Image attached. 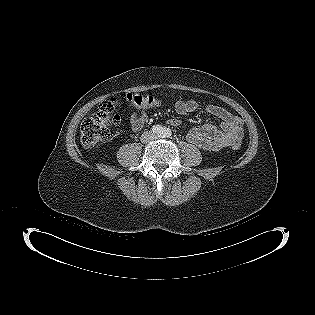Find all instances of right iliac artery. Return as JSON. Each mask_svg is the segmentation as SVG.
Returning <instances> with one entry per match:
<instances>
[{"label":"right iliac artery","instance_id":"1","mask_svg":"<svg viewBox=\"0 0 315 315\" xmlns=\"http://www.w3.org/2000/svg\"><path fill=\"white\" fill-rule=\"evenodd\" d=\"M162 130H163V128H162L160 125H154V126L151 128V131H152L154 134H157V135H161Z\"/></svg>","mask_w":315,"mask_h":315}]
</instances>
